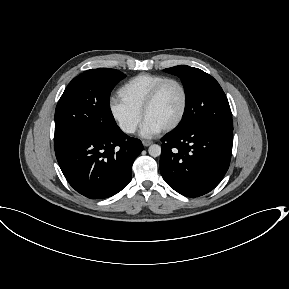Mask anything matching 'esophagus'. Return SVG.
Masks as SVG:
<instances>
[{"label":"esophagus","instance_id":"1","mask_svg":"<svg viewBox=\"0 0 289 289\" xmlns=\"http://www.w3.org/2000/svg\"><path fill=\"white\" fill-rule=\"evenodd\" d=\"M142 143H143V146L148 147V146H150L153 142H152V141H149V140H144Z\"/></svg>","mask_w":289,"mask_h":289}]
</instances>
